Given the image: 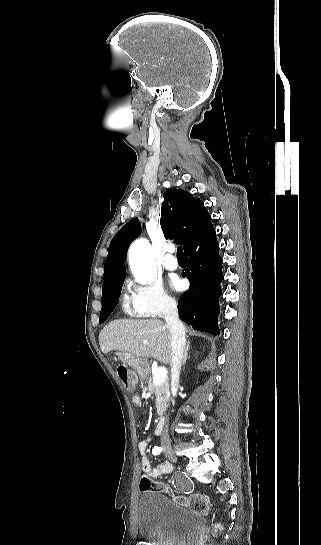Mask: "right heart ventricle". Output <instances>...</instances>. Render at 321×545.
<instances>
[{"instance_id": "obj_1", "label": "right heart ventricle", "mask_w": 321, "mask_h": 545, "mask_svg": "<svg viewBox=\"0 0 321 545\" xmlns=\"http://www.w3.org/2000/svg\"><path fill=\"white\" fill-rule=\"evenodd\" d=\"M122 308H123V310L125 311V313H127V314H129V315H131V316L134 315V313H133V312L131 311V309L129 308L127 301H125V300L123 301Z\"/></svg>"}]
</instances>
